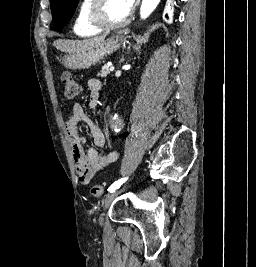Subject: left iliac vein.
Instances as JSON below:
<instances>
[{
	"instance_id": "4c4485c4",
	"label": "left iliac vein",
	"mask_w": 256,
	"mask_h": 267,
	"mask_svg": "<svg viewBox=\"0 0 256 267\" xmlns=\"http://www.w3.org/2000/svg\"><path fill=\"white\" fill-rule=\"evenodd\" d=\"M122 192V189H117L114 192L109 193L103 200L102 208L106 209L109 207L110 203ZM99 222H103V216L99 217Z\"/></svg>"
}]
</instances>
